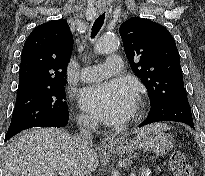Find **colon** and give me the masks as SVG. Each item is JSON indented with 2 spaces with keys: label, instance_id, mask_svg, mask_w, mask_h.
<instances>
[{
  "label": "colon",
  "instance_id": "5ec220e1",
  "mask_svg": "<svg viewBox=\"0 0 205 176\" xmlns=\"http://www.w3.org/2000/svg\"><path fill=\"white\" fill-rule=\"evenodd\" d=\"M171 170L174 176H195L190 163L180 151L171 157Z\"/></svg>",
  "mask_w": 205,
  "mask_h": 176
}]
</instances>
